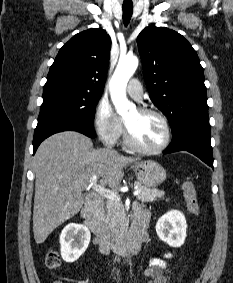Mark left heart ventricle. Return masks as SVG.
Here are the masks:
<instances>
[{
	"instance_id": "left-heart-ventricle-1",
	"label": "left heart ventricle",
	"mask_w": 233,
	"mask_h": 283,
	"mask_svg": "<svg viewBox=\"0 0 233 283\" xmlns=\"http://www.w3.org/2000/svg\"><path fill=\"white\" fill-rule=\"evenodd\" d=\"M135 141L148 149L159 147L165 139V127L162 121L152 114H141L132 111L125 117Z\"/></svg>"
}]
</instances>
